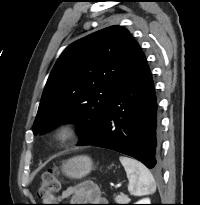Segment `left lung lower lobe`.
Returning <instances> with one entry per match:
<instances>
[{
    "mask_svg": "<svg viewBox=\"0 0 200 205\" xmlns=\"http://www.w3.org/2000/svg\"><path fill=\"white\" fill-rule=\"evenodd\" d=\"M83 145L115 150L141 161L150 169L158 166L156 94L146 58L137 43L117 81L100 129Z\"/></svg>",
    "mask_w": 200,
    "mask_h": 205,
    "instance_id": "obj_1",
    "label": "left lung lower lobe"
}]
</instances>
